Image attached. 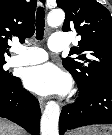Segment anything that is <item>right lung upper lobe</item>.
Masks as SVG:
<instances>
[{"mask_svg": "<svg viewBox=\"0 0 112 135\" xmlns=\"http://www.w3.org/2000/svg\"><path fill=\"white\" fill-rule=\"evenodd\" d=\"M36 0H0V61L8 53V41L18 36L20 41L34 34Z\"/></svg>", "mask_w": 112, "mask_h": 135, "instance_id": "obj_1", "label": "right lung upper lobe"}]
</instances>
